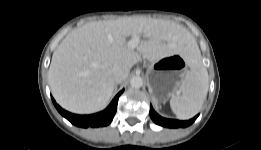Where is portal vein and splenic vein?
<instances>
[{
    "instance_id": "18ae733b",
    "label": "portal vein and splenic vein",
    "mask_w": 261,
    "mask_h": 150,
    "mask_svg": "<svg viewBox=\"0 0 261 150\" xmlns=\"http://www.w3.org/2000/svg\"><path fill=\"white\" fill-rule=\"evenodd\" d=\"M140 42V37L139 36H134L129 42H128V47L130 48H136Z\"/></svg>"
}]
</instances>
